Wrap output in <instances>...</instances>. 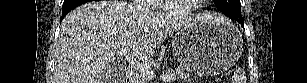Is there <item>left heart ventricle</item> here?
<instances>
[{
  "label": "left heart ventricle",
  "instance_id": "left-heart-ventricle-1",
  "mask_svg": "<svg viewBox=\"0 0 307 83\" xmlns=\"http://www.w3.org/2000/svg\"><path fill=\"white\" fill-rule=\"evenodd\" d=\"M196 1L197 0H171V1H169V3L173 7H182V6H191Z\"/></svg>",
  "mask_w": 307,
  "mask_h": 83
}]
</instances>
